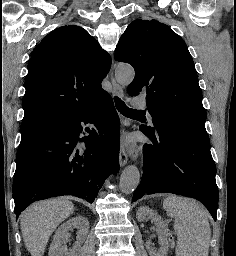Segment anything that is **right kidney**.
I'll return each instance as SVG.
<instances>
[{
	"label": "right kidney",
	"mask_w": 236,
	"mask_h": 256,
	"mask_svg": "<svg viewBox=\"0 0 236 256\" xmlns=\"http://www.w3.org/2000/svg\"><path fill=\"white\" fill-rule=\"evenodd\" d=\"M78 230L77 232V242L73 246V250L68 252L65 244L68 242L69 232L72 230ZM89 232V222L83 216H76V218H71L65 224H62L52 240V244L49 248V256H79L81 246L85 242Z\"/></svg>",
	"instance_id": "1"
}]
</instances>
